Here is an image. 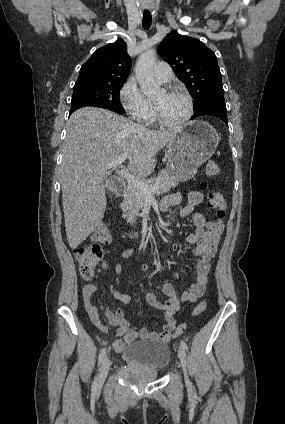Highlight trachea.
Instances as JSON below:
<instances>
[{"instance_id":"obj_1","label":"trachea","mask_w":285,"mask_h":424,"mask_svg":"<svg viewBox=\"0 0 285 424\" xmlns=\"http://www.w3.org/2000/svg\"><path fill=\"white\" fill-rule=\"evenodd\" d=\"M151 20H152L151 13L149 11H144L142 25L145 30H148L150 28Z\"/></svg>"}]
</instances>
